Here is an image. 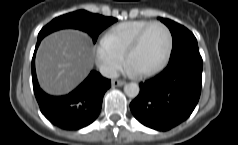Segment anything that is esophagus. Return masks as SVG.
<instances>
[{"label":"esophagus","instance_id":"34e87169","mask_svg":"<svg viewBox=\"0 0 238 145\" xmlns=\"http://www.w3.org/2000/svg\"><path fill=\"white\" fill-rule=\"evenodd\" d=\"M112 86H114V87H117V86H122V85H124L125 84V82L124 81H121V80H116V79H114V80H112Z\"/></svg>","mask_w":238,"mask_h":145}]
</instances>
